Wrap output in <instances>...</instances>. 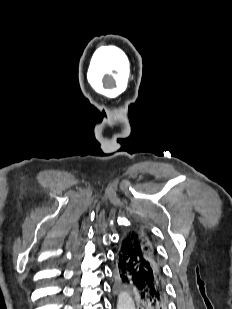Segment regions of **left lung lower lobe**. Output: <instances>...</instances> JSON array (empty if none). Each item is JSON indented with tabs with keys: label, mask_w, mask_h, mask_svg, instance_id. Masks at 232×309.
<instances>
[{
	"label": "left lung lower lobe",
	"mask_w": 232,
	"mask_h": 309,
	"mask_svg": "<svg viewBox=\"0 0 232 309\" xmlns=\"http://www.w3.org/2000/svg\"><path fill=\"white\" fill-rule=\"evenodd\" d=\"M132 229L123 235L117 248L115 278L133 293L138 309H167L168 298L160 263L144 251Z\"/></svg>",
	"instance_id": "left-lung-lower-lobe-1"
}]
</instances>
